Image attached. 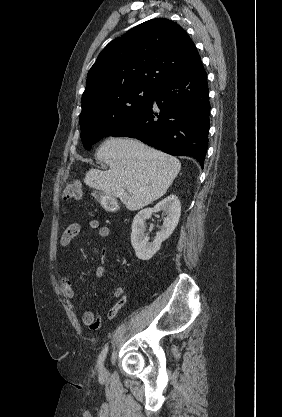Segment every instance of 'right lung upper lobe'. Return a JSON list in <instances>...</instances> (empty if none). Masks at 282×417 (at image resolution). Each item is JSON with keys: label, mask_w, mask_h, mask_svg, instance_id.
<instances>
[{"label": "right lung upper lobe", "mask_w": 282, "mask_h": 417, "mask_svg": "<svg viewBox=\"0 0 282 417\" xmlns=\"http://www.w3.org/2000/svg\"><path fill=\"white\" fill-rule=\"evenodd\" d=\"M201 64L193 41L178 24L157 18L111 41L87 75L82 101L128 88L156 90L175 75Z\"/></svg>", "instance_id": "obj_1"}]
</instances>
